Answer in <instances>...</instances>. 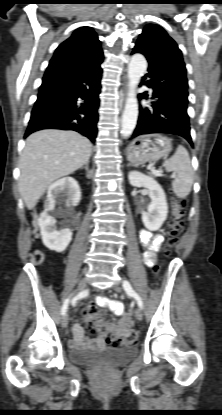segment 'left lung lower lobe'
<instances>
[{"label": "left lung lower lobe", "mask_w": 222, "mask_h": 415, "mask_svg": "<svg viewBox=\"0 0 222 415\" xmlns=\"http://www.w3.org/2000/svg\"><path fill=\"white\" fill-rule=\"evenodd\" d=\"M132 53L145 55L149 62L146 84L153 90L154 101L149 107H140L131 138L148 133H170L183 137L193 146L187 114L188 82L184 62L172 57L150 55L137 45ZM139 97L147 99L148 95L145 92Z\"/></svg>", "instance_id": "0a47b994"}]
</instances>
